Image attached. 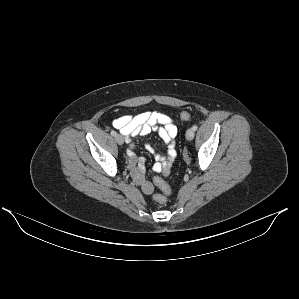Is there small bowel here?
<instances>
[{
  "mask_svg": "<svg viewBox=\"0 0 299 299\" xmlns=\"http://www.w3.org/2000/svg\"><path fill=\"white\" fill-rule=\"evenodd\" d=\"M112 125L118 129L129 144L128 149V165L131 169L134 181L141 185L145 194L149 195L153 192L154 187L150 181L144 177L146 161L145 159L138 160L134 147L133 138L137 135H147L152 131H156L163 141L166 151L164 154H158L155 149L149 145H145V149L154 155L155 163L153 170L161 173L164 177L170 173L172 163L176 158L175 138L177 135V127L174 120L163 113L147 111L137 115H126L113 120ZM160 177H155L154 182L157 185V180Z\"/></svg>",
  "mask_w": 299,
  "mask_h": 299,
  "instance_id": "obj_1",
  "label": "small bowel"
}]
</instances>
